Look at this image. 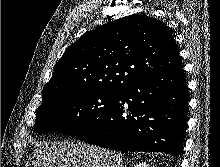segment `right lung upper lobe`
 <instances>
[{"instance_id":"cb5924a9","label":"right lung upper lobe","mask_w":220,"mask_h":167,"mask_svg":"<svg viewBox=\"0 0 220 167\" xmlns=\"http://www.w3.org/2000/svg\"><path fill=\"white\" fill-rule=\"evenodd\" d=\"M181 65L171 29L160 20L133 14L87 31L73 43L54 66L42 98L80 88L119 92Z\"/></svg>"}]
</instances>
